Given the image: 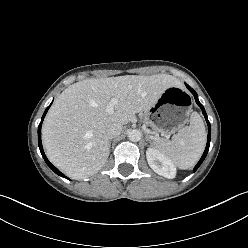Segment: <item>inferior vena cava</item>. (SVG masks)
Listing matches in <instances>:
<instances>
[{"label": "inferior vena cava", "mask_w": 248, "mask_h": 248, "mask_svg": "<svg viewBox=\"0 0 248 248\" xmlns=\"http://www.w3.org/2000/svg\"><path fill=\"white\" fill-rule=\"evenodd\" d=\"M121 131H122V125L112 124L108 126V128L106 129V136L109 139H112L114 137L119 136L121 134Z\"/></svg>", "instance_id": "obj_1"}]
</instances>
